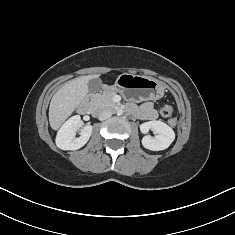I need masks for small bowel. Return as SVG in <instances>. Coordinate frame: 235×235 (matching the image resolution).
I'll return each mask as SVG.
<instances>
[{
    "instance_id": "obj_1",
    "label": "small bowel",
    "mask_w": 235,
    "mask_h": 235,
    "mask_svg": "<svg viewBox=\"0 0 235 235\" xmlns=\"http://www.w3.org/2000/svg\"><path fill=\"white\" fill-rule=\"evenodd\" d=\"M136 115L144 120H154L157 116L151 102L143 103L137 110Z\"/></svg>"
}]
</instances>
